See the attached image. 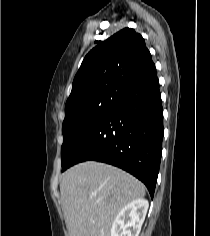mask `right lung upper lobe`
I'll return each mask as SVG.
<instances>
[{
	"label": "right lung upper lobe",
	"instance_id": "cb5924a9",
	"mask_svg": "<svg viewBox=\"0 0 210 236\" xmlns=\"http://www.w3.org/2000/svg\"><path fill=\"white\" fill-rule=\"evenodd\" d=\"M156 71L144 38L131 28L99 43L84 58L78 70L65 111L92 96L124 91Z\"/></svg>",
	"mask_w": 210,
	"mask_h": 236
}]
</instances>
